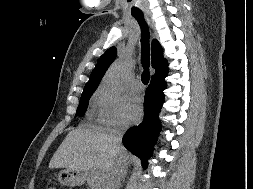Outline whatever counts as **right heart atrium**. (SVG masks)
<instances>
[{"label":"right heart atrium","mask_w":253,"mask_h":189,"mask_svg":"<svg viewBox=\"0 0 253 189\" xmlns=\"http://www.w3.org/2000/svg\"><path fill=\"white\" fill-rule=\"evenodd\" d=\"M97 114V122L106 129H119L124 126L123 99L104 89H99L93 99Z\"/></svg>","instance_id":"obj_1"}]
</instances>
